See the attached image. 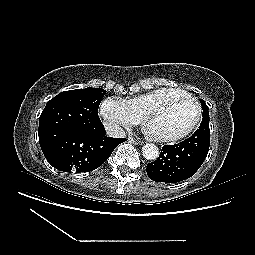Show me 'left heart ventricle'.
<instances>
[{"instance_id":"left-heart-ventricle-1","label":"left heart ventricle","mask_w":255,"mask_h":255,"mask_svg":"<svg viewBox=\"0 0 255 255\" xmlns=\"http://www.w3.org/2000/svg\"><path fill=\"white\" fill-rule=\"evenodd\" d=\"M196 116L195 105L184 97H175L154 112L145 126L153 135H175L186 130Z\"/></svg>"}]
</instances>
